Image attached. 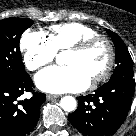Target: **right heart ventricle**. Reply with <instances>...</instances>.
<instances>
[{
  "mask_svg": "<svg viewBox=\"0 0 136 136\" xmlns=\"http://www.w3.org/2000/svg\"><path fill=\"white\" fill-rule=\"evenodd\" d=\"M91 26L80 22H67L50 26L48 38L56 51L68 50L82 39L97 35Z\"/></svg>",
  "mask_w": 136,
  "mask_h": 136,
  "instance_id": "right-heart-ventricle-1",
  "label": "right heart ventricle"
}]
</instances>
